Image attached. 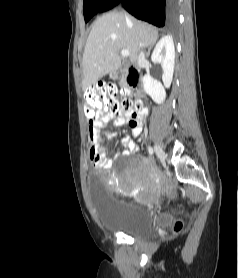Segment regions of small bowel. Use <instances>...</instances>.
<instances>
[{
  "label": "small bowel",
  "mask_w": 238,
  "mask_h": 278,
  "mask_svg": "<svg viewBox=\"0 0 238 278\" xmlns=\"http://www.w3.org/2000/svg\"><path fill=\"white\" fill-rule=\"evenodd\" d=\"M116 113V114H115ZM115 113L103 112L99 115V119L90 126V150L89 156L94 166L97 169L107 170L113 166L114 161L120 156H126L138 151V145L134 138L138 137L144 126L143 117L147 114L146 111L139 113L124 110H118ZM124 124H128L131 129V136H125L121 139V144L124 147L122 153H116L111 157L103 148V143L110 138L111 133L108 129H113Z\"/></svg>",
  "instance_id": "obj_1"
}]
</instances>
